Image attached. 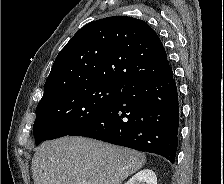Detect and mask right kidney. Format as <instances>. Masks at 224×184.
I'll return each mask as SVG.
<instances>
[{
  "mask_svg": "<svg viewBox=\"0 0 224 184\" xmlns=\"http://www.w3.org/2000/svg\"><path fill=\"white\" fill-rule=\"evenodd\" d=\"M126 184H157V177L150 169L136 173Z\"/></svg>",
  "mask_w": 224,
  "mask_h": 184,
  "instance_id": "ca27d5eb",
  "label": "right kidney"
}]
</instances>
